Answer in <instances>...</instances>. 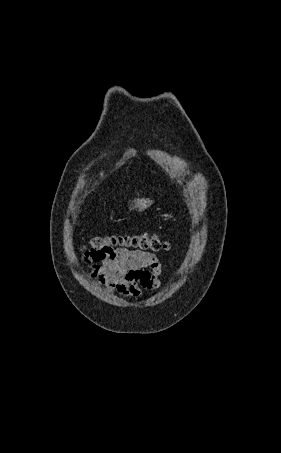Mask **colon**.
<instances>
[{
	"mask_svg": "<svg viewBox=\"0 0 281 453\" xmlns=\"http://www.w3.org/2000/svg\"><path fill=\"white\" fill-rule=\"evenodd\" d=\"M92 248L85 253L84 260L88 262H104V249H111L112 245L134 247V250H155L159 252L169 249V244L156 237L147 235H124L108 239H93Z\"/></svg>",
	"mask_w": 281,
	"mask_h": 453,
	"instance_id": "obj_1",
	"label": "colon"
}]
</instances>
